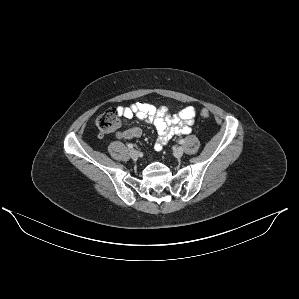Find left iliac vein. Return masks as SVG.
<instances>
[{"instance_id":"1","label":"left iliac vein","mask_w":299,"mask_h":299,"mask_svg":"<svg viewBox=\"0 0 299 299\" xmlns=\"http://www.w3.org/2000/svg\"><path fill=\"white\" fill-rule=\"evenodd\" d=\"M183 153H184V150L182 147H177L174 149V156L177 158L182 157Z\"/></svg>"}]
</instances>
